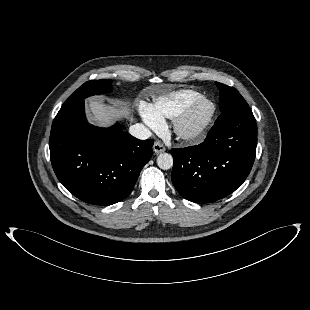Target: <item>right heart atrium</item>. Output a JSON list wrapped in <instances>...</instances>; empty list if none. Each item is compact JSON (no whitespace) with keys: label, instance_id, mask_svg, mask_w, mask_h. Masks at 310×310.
I'll return each mask as SVG.
<instances>
[{"label":"right heart atrium","instance_id":"right-heart-atrium-1","mask_svg":"<svg viewBox=\"0 0 310 310\" xmlns=\"http://www.w3.org/2000/svg\"><path fill=\"white\" fill-rule=\"evenodd\" d=\"M142 118L144 122L154 131H162L164 128V120L150 111V106L142 107Z\"/></svg>","mask_w":310,"mask_h":310}]
</instances>
